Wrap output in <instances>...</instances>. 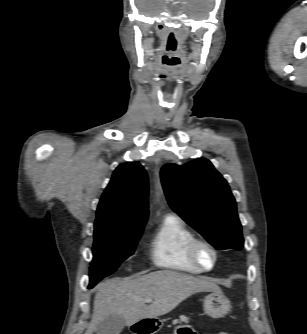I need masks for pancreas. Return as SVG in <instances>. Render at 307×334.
I'll return each instance as SVG.
<instances>
[{"mask_svg": "<svg viewBox=\"0 0 307 334\" xmlns=\"http://www.w3.org/2000/svg\"><path fill=\"white\" fill-rule=\"evenodd\" d=\"M188 320H189L188 317L182 315V316H180L179 319L174 320V321H173V324H177V323H181V322H185V323H187Z\"/></svg>", "mask_w": 307, "mask_h": 334, "instance_id": "1", "label": "pancreas"}]
</instances>
